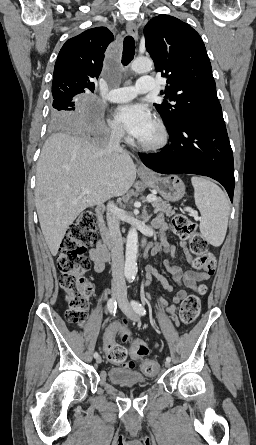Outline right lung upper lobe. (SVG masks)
Returning a JSON list of instances; mask_svg holds the SVG:
<instances>
[{"instance_id":"cb5924a9","label":"right lung upper lobe","mask_w":256,"mask_h":445,"mask_svg":"<svg viewBox=\"0 0 256 445\" xmlns=\"http://www.w3.org/2000/svg\"><path fill=\"white\" fill-rule=\"evenodd\" d=\"M113 39L107 28L96 27L67 40L55 63L52 94L93 92V80L101 73L104 52Z\"/></svg>"}]
</instances>
